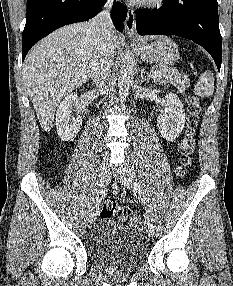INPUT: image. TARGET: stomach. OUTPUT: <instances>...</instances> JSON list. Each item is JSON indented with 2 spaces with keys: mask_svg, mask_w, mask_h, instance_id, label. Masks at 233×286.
<instances>
[{
  "mask_svg": "<svg viewBox=\"0 0 233 286\" xmlns=\"http://www.w3.org/2000/svg\"><path fill=\"white\" fill-rule=\"evenodd\" d=\"M141 58L158 66L169 67L179 59L178 46L168 37H158L151 44L142 45Z\"/></svg>",
  "mask_w": 233,
  "mask_h": 286,
  "instance_id": "1",
  "label": "stomach"
}]
</instances>
